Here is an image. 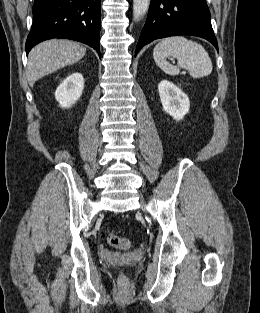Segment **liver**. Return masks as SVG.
I'll return each instance as SVG.
<instances>
[{"instance_id":"1","label":"liver","mask_w":260,"mask_h":313,"mask_svg":"<svg viewBox=\"0 0 260 313\" xmlns=\"http://www.w3.org/2000/svg\"><path fill=\"white\" fill-rule=\"evenodd\" d=\"M86 54V48L75 41L52 39L36 45L28 55L27 79L34 83L67 65L76 63Z\"/></svg>"}]
</instances>
